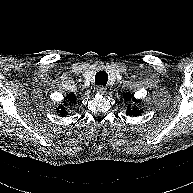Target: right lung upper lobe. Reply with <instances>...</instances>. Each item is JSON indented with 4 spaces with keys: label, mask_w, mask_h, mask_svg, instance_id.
<instances>
[{
    "label": "right lung upper lobe",
    "mask_w": 193,
    "mask_h": 193,
    "mask_svg": "<svg viewBox=\"0 0 193 193\" xmlns=\"http://www.w3.org/2000/svg\"><path fill=\"white\" fill-rule=\"evenodd\" d=\"M65 100L66 101L63 102L64 105H66V102L76 101V96L71 93V94L67 95V97H65ZM59 108H61V110H60L61 115L65 116L67 114V112H66L65 108L63 107V105L59 106ZM59 108H58V110H59Z\"/></svg>",
    "instance_id": "cb5924a9"
}]
</instances>
